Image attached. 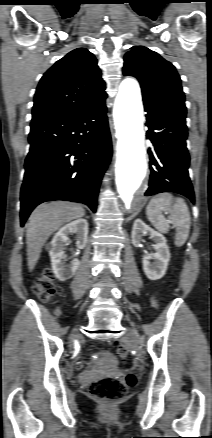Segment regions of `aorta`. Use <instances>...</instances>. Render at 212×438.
I'll return each instance as SVG.
<instances>
[{"label": "aorta", "mask_w": 212, "mask_h": 438, "mask_svg": "<svg viewBox=\"0 0 212 438\" xmlns=\"http://www.w3.org/2000/svg\"><path fill=\"white\" fill-rule=\"evenodd\" d=\"M113 116L118 137L116 185L121 199L129 208L147 172L143 106L136 80L128 78L120 84Z\"/></svg>", "instance_id": "obj_1"}]
</instances>
